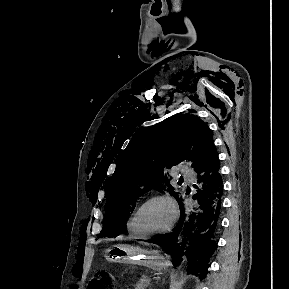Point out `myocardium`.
Segmentation results:
<instances>
[{"mask_svg": "<svg viewBox=\"0 0 289 289\" xmlns=\"http://www.w3.org/2000/svg\"><path fill=\"white\" fill-rule=\"evenodd\" d=\"M155 200H164V201L168 202V204L170 205V207L172 209V219H171V222L169 223V225L162 230L153 231V232H145L138 225V217H139L141 211L143 210V208L147 204H149L150 202L155 201ZM178 215H179V211H178V207H177L175 200L170 195L157 193V194H153V195L149 196L148 198H146L137 207V209L134 211V213H133V226H134L135 230L139 234H141L143 237L160 236V235L167 234L168 232H170L173 229L174 225L177 222Z\"/></svg>", "mask_w": 289, "mask_h": 289, "instance_id": "f54148a6", "label": "myocardium"}]
</instances>
